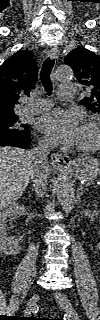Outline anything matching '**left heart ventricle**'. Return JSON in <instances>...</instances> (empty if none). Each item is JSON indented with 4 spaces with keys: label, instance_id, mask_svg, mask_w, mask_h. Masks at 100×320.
Returning <instances> with one entry per match:
<instances>
[{
    "label": "left heart ventricle",
    "instance_id": "left-heart-ventricle-1",
    "mask_svg": "<svg viewBox=\"0 0 100 320\" xmlns=\"http://www.w3.org/2000/svg\"><path fill=\"white\" fill-rule=\"evenodd\" d=\"M92 138H93L92 130L88 126L83 124L78 145L87 144L92 140Z\"/></svg>",
    "mask_w": 100,
    "mask_h": 320
}]
</instances>
